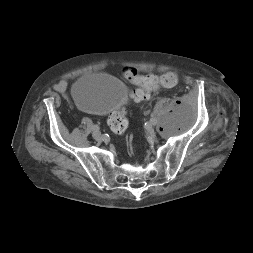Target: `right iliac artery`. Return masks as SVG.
Segmentation results:
<instances>
[{"instance_id": "82829eb1", "label": "right iliac artery", "mask_w": 253, "mask_h": 253, "mask_svg": "<svg viewBox=\"0 0 253 253\" xmlns=\"http://www.w3.org/2000/svg\"><path fill=\"white\" fill-rule=\"evenodd\" d=\"M98 129H99V127L97 125H92V131L98 130Z\"/></svg>"}]
</instances>
